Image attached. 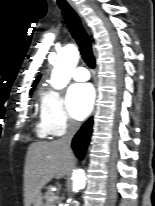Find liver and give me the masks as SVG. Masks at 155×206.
Wrapping results in <instances>:
<instances>
[{"instance_id":"liver-1","label":"liver","mask_w":155,"mask_h":206,"mask_svg":"<svg viewBox=\"0 0 155 206\" xmlns=\"http://www.w3.org/2000/svg\"><path fill=\"white\" fill-rule=\"evenodd\" d=\"M74 156L60 140L32 143L24 169V204L30 206L41 189L53 178H63L71 169Z\"/></svg>"}]
</instances>
